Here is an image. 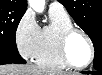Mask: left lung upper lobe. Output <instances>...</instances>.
Returning <instances> with one entry per match:
<instances>
[{"label": "left lung upper lobe", "mask_w": 102, "mask_h": 75, "mask_svg": "<svg viewBox=\"0 0 102 75\" xmlns=\"http://www.w3.org/2000/svg\"><path fill=\"white\" fill-rule=\"evenodd\" d=\"M75 22L89 35L94 48V68L102 69V0H59Z\"/></svg>", "instance_id": "left-lung-upper-lobe-1"}]
</instances>
